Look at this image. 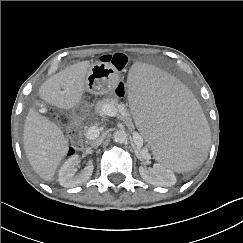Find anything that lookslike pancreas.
<instances>
[{
    "label": "pancreas",
    "mask_w": 243,
    "mask_h": 243,
    "mask_svg": "<svg viewBox=\"0 0 243 243\" xmlns=\"http://www.w3.org/2000/svg\"><path fill=\"white\" fill-rule=\"evenodd\" d=\"M109 105L116 109L117 111V117L121 120H123L126 124H131V119L129 117V114L126 110H121L123 107V104L118 103V101L114 98H104L100 101H98L95 105V111L97 113H104V106Z\"/></svg>",
    "instance_id": "cf45deb5"
}]
</instances>
